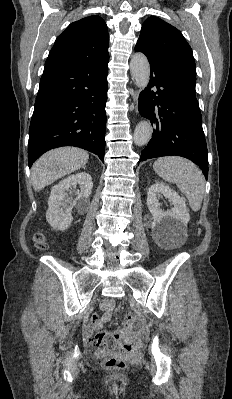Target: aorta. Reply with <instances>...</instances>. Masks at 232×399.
Returning a JSON list of instances; mask_svg holds the SVG:
<instances>
[{"label": "aorta", "instance_id": "obj_1", "mask_svg": "<svg viewBox=\"0 0 232 399\" xmlns=\"http://www.w3.org/2000/svg\"><path fill=\"white\" fill-rule=\"evenodd\" d=\"M131 75L135 80L136 85L144 89L149 83L150 65L147 57L143 53H135L130 61ZM152 135V126L149 121L143 120L139 122L134 130V143L137 146H144L147 144Z\"/></svg>", "mask_w": 232, "mask_h": 399}]
</instances>
